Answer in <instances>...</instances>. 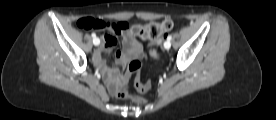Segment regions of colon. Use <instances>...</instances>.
<instances>
[{
	"instance_id": "obj_1",
	"label": "colon",
	"mask_w": 276,
	"mask_h": 120,
	"mask_svg": "<svg viewBox=\"0 0 276 120\" xmlns=\"http://www.w3.org/2000/svg\"><path fill=\"white\" fill-rule=\"evenodd\" d=\"M105 25V21L91 17L81 18L76 22V26L79 29L85 30L102 29L105 27ZM172 28L173 21L169 18H166L159 23L152 22L145 25L136 24L128 27L127 31L134 36H139L147 40L151 47L150 55L153 58H157L159 54L155 47L162 42L165 34L169 32ZM141 66L142 64L139 60H133L130 62V64L128 65L127 79L122 83V85L117 89L115 93L118 99H127L130 97V93L127 88V80L132 75H134V85L140 93H145L151 88V81L142 82L140 79ZM133 100L138 104H144L146 102L144 98L139 96L133 97Z\"/></svg>"
}]
</instances>
